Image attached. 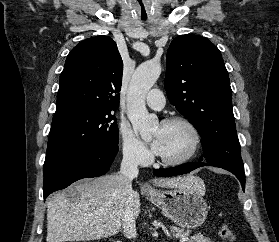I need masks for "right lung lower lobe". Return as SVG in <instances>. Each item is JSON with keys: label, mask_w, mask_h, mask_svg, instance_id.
Instances as JSON below:
<instances>
[{"label": "right lung lower lobe", "mask_w": 279, "mask_h": 242, "mask_svg": "<svg viewBox=\"0 0 279 242\" xmlns=\"http://www.w3.org/2000/svg\"><path fill=\"white\" fill-rule=\"evenodd\" d=\"M117 152L118 146L86 148L45 162L43 166L44 199L52 192L66 188L79 179L106 174Z\"/></svg>", "instance_id": "98d812e1"}]
</instances>
